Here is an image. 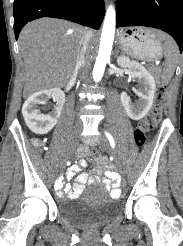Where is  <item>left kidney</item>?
Wrapping results in <instances>:
<instances>
[{"label": "left kidney", "mask_w": 183, "mask_h": 246, "mask_svg": "<svg viewBox=\"0 0 183 246\" xmlns=\"http://www.w3.org/2000/svg\"><path fill=\"white\" fill-rule=\"evenodd\" d=\"M117 63L121 68H128L132 78L139 82V89L136 95L139 97L137 103H132L130 96L122 92L120 99L126 114L132 120H140L149 112L153 104L156 91V83L152 74L137 61H131L128 57L121 55L117 58Z\"/></svg>", "instance_id": "left-kidney-1"}]
</instances>
